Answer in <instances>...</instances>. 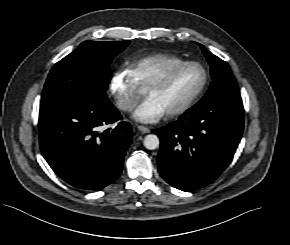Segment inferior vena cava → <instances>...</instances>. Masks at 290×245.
<instances>
[{
	"label": "inferior vena cava",
	"mask_w": 290,
	"mask_h": 245,
	"mask_svg": "<svg viewBox=\"0 0 290 245\" xmlns=\"http://www.w3.org/2000/svg\"><path fill=\"white\" fill-rule=\"evenodd\" d=\"M118 106L120 109L127 110V111H131L135 107L134 103L131 100L126 99V98L120 99Z\"/></svg>",
	"instance_id": "602c4592"
}]
</instances>
